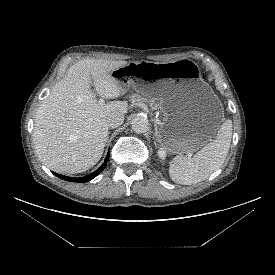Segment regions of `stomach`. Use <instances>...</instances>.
Segmentation results:
<instances>
[{"label":"stomach","mask_w":275,"mask_h":275,"mask_svg":"<svg viewBox=\"0 0 275 275\" xmlns=\"http://www.w3.org/2000/svg\"><path fill=\"white\" fill-rule=\"evenodd\" d=\"M125 90L160 100L163 123L159 140L174 154L194 152L215 135L224 119L222 104L189 59L129 62L112 71Z\"/></svg>","instance_id":"stomach-1"}]
</instances>
